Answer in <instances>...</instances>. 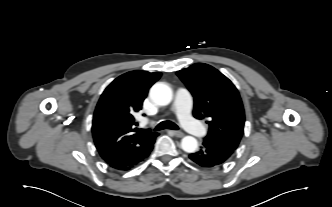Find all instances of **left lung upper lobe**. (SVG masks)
Here are the masks:
<instances>
[{
	"instance_id": "1",
	"label": "left lung upper lobe",
	"mask_w": 332,
	"mask_h": 207,
	"mask_svg": "<svg viewBox=\"0 0 332 207\" xmlns=\"http://www.w3.org/2000/svg\"><path fill=\"white\" fill-rule=\"evenodd\" d=\"M177 75L194 97V117L209 120L206 139L235 150L243 134L245 115L234 84L203 63L193 64Z\"/></svg>"
}]
</instances>
